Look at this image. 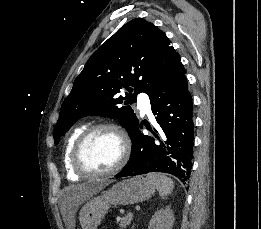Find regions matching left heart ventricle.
<instances>
[{"instance_id":"b2bd125f","label":"left heart ventricle","mask_w":261,"mask_h":229,"mask_svg":"<svg viewBox=\"0 0 261 229\" xmlns=\"http://www.w3.org/2000/svg\"><path fill=\"white\" fill-rule=\"evenodd\" d=\"M122 152L117 134L102 130L95 133L83 150L85 164L94 170H108L119 161Z\"/></svg>"}]
</instances>
